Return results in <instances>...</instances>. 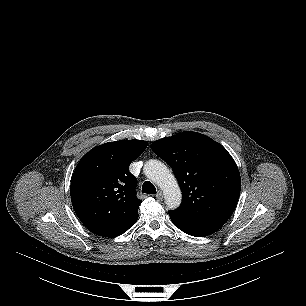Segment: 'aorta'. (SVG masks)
I'll return each instance as SVG.
<instances>
[{
  "label": "aorta",
  "instance_id": "aorta-1",
  "mask_svg": "<svg viewBox=\"0 0 306 306\" xmlns=\"http://www.w3.org/2000/svg\"><path fill=\"white\" fill-rule=\"evenodd\" d=\"M143 172L163 190L168 209L174 210L180 206L182 200L180 187L166 165L159 160L151 159L145 163Z\"/></svg>",
  "mask_w": 306,
  "mask_h": 306
}]
</instances>
